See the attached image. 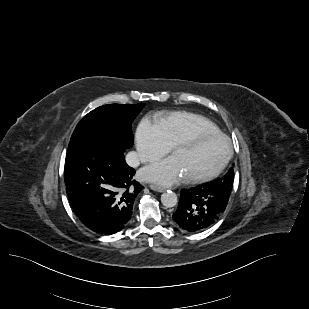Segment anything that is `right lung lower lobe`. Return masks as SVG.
Segmentation results:
<instances>
[{
    "label": "right lung lower lobe",
    "instance_id": "obj_1",
    "mask_svg": "<svg viewBox=\"0 0 309 309\" xmlns=\"http://www.w3.org/2000/svg\"><path fill=\"white\" fill-rule=\"evenodd\" d=\"M126 147L115 138L88 133L71 139L65 160L70 204L92 231L110 235L124 229L135 197L144 188L124 159Z\"/></svg>",
    "mask_w": 309,
    "mask_h": 309
}]
</instances>
